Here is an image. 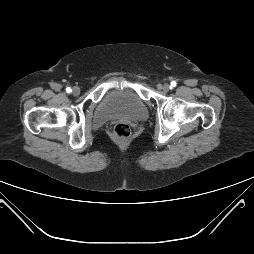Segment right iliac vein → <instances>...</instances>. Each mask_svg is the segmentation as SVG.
<instances>
[{"label": "right iliac vein", "instance_id": "obj_1", "mask_svg": "<svg viewBox=\"0 0 254 254\" xmlns=\"http://www.w3.org/2000/svg\"><path fill=\"white\" fill-rule=\"evenodd\" d=\"M80 88L79 87H77V86H75L74 88H73V94L75 95V96H78L79 94H80Z\"/></svg>", "mask_w": 254, "mask_h": 254}]
</instances>
